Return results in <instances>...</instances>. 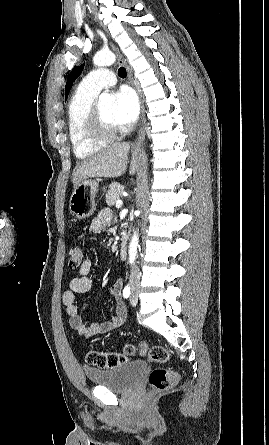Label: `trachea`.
I'll use <instances>...</instances> for the list:
<instances>
[{
	"mask_svg": "<svg viewBox=\"0 0 269 445\" xmlns=\"http://www.w3.org/2000/svg\"><path fill=\"white\" fill-rule=\"evenodd\" d=\"M118 75L121 78H125L127 76L126 69L124 67H120L119 70H118Z\"/></svg>",
	"mask_w": 269,
	"mask_h": 445,
	"instance_id": "3493384b",
	"label": "trachea"
}]
</instances>
